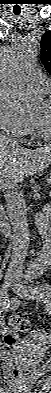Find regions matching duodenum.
Here are the masks:
<instances>
[{
    "label": "duodenum",
    "instance_id": "1",
    "mask_svg": "<svg viewBox=\"0 0 51 393\" xmlns=\"http://www.w3.org/2000/svg\"><path fill=\"white\" fill-rule=\"evenodd\" d=\"M45 215L47 218H49V215L47 213ZM0 226L4 234L9 235L11 233V225L8 221L7 214L5 213L3 208H1L0 210Z\"/></svg>",
    "mask_w": 51,
    "mask_h": 393
}]
</instances>
